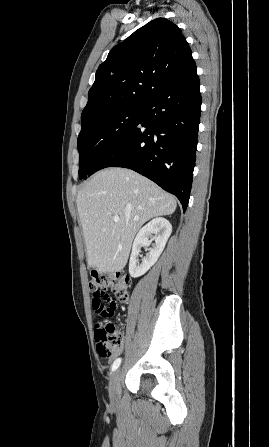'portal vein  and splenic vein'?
Segmentation results:
<instances>
[{
	"instance_id": "1",
	"label": "portal vein and splenic vein",
	"mask_w": 269,
	"mask_h": 447,
	"mask_svg": "<svg viewBox=\"0 0 269 447\" xmlns=\"http://www.w3.org/2000/svg\"><path fill=\"white\" fill-rule=\"evenodd\" d=\"M113 220H114V222H119V216H114ZM135 222H136V220H135Z\"/></svg>"
}]
</instances>
